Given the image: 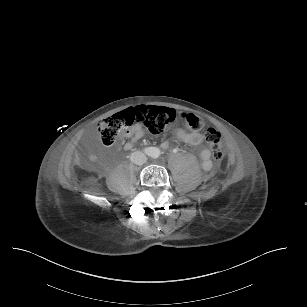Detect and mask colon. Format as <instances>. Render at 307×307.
Instances as JSON below:
<instances>
[{"label": "colon", "mask_w": 307, "mask_h": 307, "mask_svg": "<svg viewBox=\"0 0 307 307\" xmlns=\"http://www.w3.org/2000/svg\"><path fill=\"white\" fill-rule=\"evenodd\" d=\"M128 117L132 118L131 122L127 121ZM178 118H181L194 131H201L205 126L204 120L193 113L144 105L102 119L98 123V135L103 145L112 146L124 128L134 122L145 126L149 133L160 135L168 124L175 122ZM204 136L213 157L222 159L224 152L221 133L214 128H207Z\"/></svg>", "instance_id": "obj_1"}]
</instances>
